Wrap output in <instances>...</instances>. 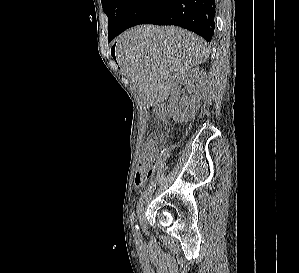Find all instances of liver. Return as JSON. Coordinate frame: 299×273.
<instances>
[{
	"instance_id": "obj_1",
	"label": "liver",
	"mask_w": 299,
	"mask_h": 273,
	"mask_svg": "<svg viewBox=\"0 0 299 273\" xmlns=\"http://www.w3.org/2000/svg\"><path fill=\"white\" fill-rule=\"evenodd\" d=\"M209 51L208 44L189 31L153 25L124 32L115 49L122 72L151 105L164 102L175 80L204 62Z\"/></svg>"
}]
</instances>
